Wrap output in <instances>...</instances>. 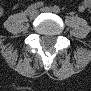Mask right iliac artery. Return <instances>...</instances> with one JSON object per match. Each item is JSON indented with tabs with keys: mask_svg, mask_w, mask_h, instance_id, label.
<instances>
[{
	"mask_svg": "<svg viewBox=\"0 0 91 91\" xmlns=\"http://www.w3.org/2000/svg\"><path fill=\"white\" fill-rule=\"evenodd\" d=\"M44 3L43 2H37V3H34L32 5H30L27 10H26V13L29 14L30 12L34 11L35 9H37L38 7H41L43 6Z\"/></svg>",
	"mask_w": 91,
	"mask_h": 91,
	"instance_id": "82829eb1",
	"label": "right iliac artery"
}]
</instances>
